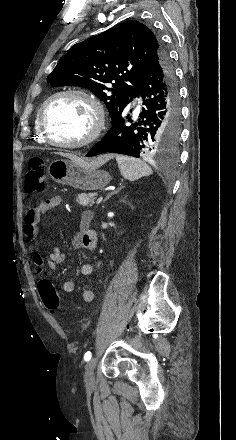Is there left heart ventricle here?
I'll use <instances>...</instances> for the list:
<instances>
[{
    "mask_svg": "<svg viewBox=\"0 0 236 440\" xmlns=\"http://www.w3.org/2000/svg\"><path fill=\"white\" fill-rule=\"evenodd\" d=\"M45 124L53 140L77 142L90 132L93 113L90 106L79 98L59 97L48 106Z\"/></svg>",
    "mask_w": 236,
    "mask_h": 440,
    "instance_id": "1",
    "label": "left heart ventricle"
}]
</instances>
